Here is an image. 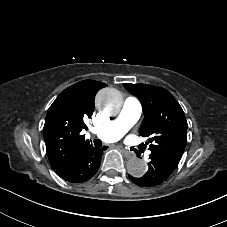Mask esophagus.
<instances>
[{
    "mask_svg": "<svg viewBox=\"0 0 227 227\" xmlns=\"http://www.w3.org/2000/svg\"><path fill=\"white\" fill-rule=\"evenodd\" d=\"M122 153L127 159L134 158L136 155L133 152L127 151V150H122Z\"/></svg>",
    "mask_w": 227,
    "mask_h": 227,
    "instance_id": "esophagus-1",
    "label": "esophagus"
}]
</instances>
